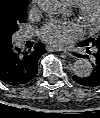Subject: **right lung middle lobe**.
Segmentation results:
<instances>
[{"instance_id": "1", "label": "right lung middle lobe", "mask_w": 100, "mask_h": 118, "mask_svg": "<svg viewBox=\"0 0 100 118\" xmlns=\"http://www.w3.org/2000/svg\"><path fill=\"white\" fill-rule=\"evenodd\" d=\"M27 2V0L13 1L9 5L4 25V31L9 42H11L13 33L18 30V26L26 21Z\"/></svg>"}]
</instances>
